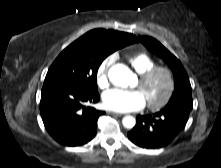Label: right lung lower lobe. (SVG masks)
Returning <instances> with one entry per match:
<instances>
[{"mask_svg": "<svg viewBox=\"0 0 221 168\" xmlns=\"http://www.w3.org/2000/svg\"><path fill=\"white\" fill-rule=\"evenodd\" d=\"M100 99L98 92L86 91L67 83H44L40 112L47 132L65 146L83 145L96 134L103 111L87 106Z\"/></svg>", "mask_w": 221, "mask_h": 168, "instance_id": "right-lung-lower-lobe-1", "label": "right lung lower lobe"}]
</instances>
